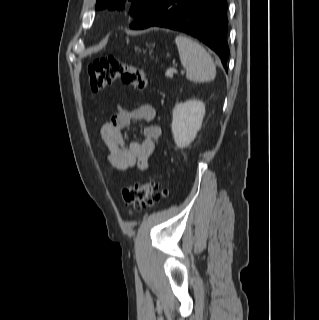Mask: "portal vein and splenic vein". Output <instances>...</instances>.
Returning a JSON list of instances; mask_svg holds the SVG:
<instances>
[{
	"label": "portal vein and splenic vein",
	"instance_id": "18ae733b",
	"mask_svg": "<svg viewBox=\"0 0 319 320\" xmlns=\"http://www.w3.org/2000/svg\"><path fill=\"white\" fill-rule=\"evenodd\" d=\"M173 70H168V71H166V73H165V75L167 76V77H170V78H172L173 77Z\"/></svg>",
	"mask_w": 319,
	"mask_h": 320
}]
</instances>
